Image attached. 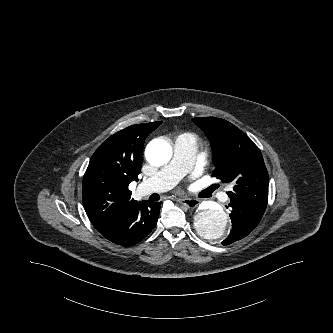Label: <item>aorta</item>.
<instances>
[{
	"label": "aorta",
	"mask_w": 333,
	"mask_h": 333,
	"mask_svg": "<svg viewBox=\"0 0 333 333\" xmlns=\"http://www.w3.org/2000/svg\"><path fill=\"white\" fill-rule=\"evenodd\" d=\"M145 154L150 164L161 166L170 161L172 147L166 141L156 139L147 145ZM194 224L201 236L212 241L225 238L230 230L227 213L215 203H202L195 215Z\"/></svg>",
	"instance_id": "aorta-1"
}]
</instances>
